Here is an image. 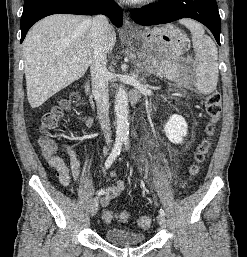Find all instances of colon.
<instances>
[{
	"label": "colon",
	"mask_w": 247,
	"mask_h": 257,
	"mask_svg": "<svg viewBox=\"0 0 247 257\" xmlns=\"http://www.w3.org/2000/svg\"><path fill=\"white\" fill-rule=\"evenodd\" d=\"M73 99L63 101L59 106L55 107L51 112L45 114L42 118L41 128L44 135L40 139V150L45 158H50L56 155L57 145L47 135V133L55 129L66 112L71 109ZM205 114L208 119L206 125L207 138L204 139L198 146V149L194 155V161L190 166V174L195 175L199 166L205 161V158L210 149L209 138L214 134L215 126L220 118L221 114V95L219 92H213L204 98ZM103 219L106 223H111L114 220L125 223L129 220V214L125 211L114 213L111 210H107L103 214ZM138 226L142 229H147L151 225V219L148 216H141L138 218Z\"/></svg>",
	"instance_id": "obj_1"
}]
</instances>
